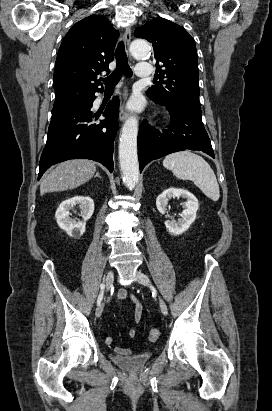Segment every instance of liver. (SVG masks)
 Returning a JSON list of instances; mask_svg holds the SVG:
<instances>
[{"label": "liver", "instance_id": "liver-1", "mask_svg": "<svg viewBox=\"0 0 272 411\" xmlns=\"http://www.w3.org/2000/svg\"><path fill=\"white\" fill-rule=\"evenodd\" d=\"M95 171V164L90 160L75 159L62 162L43 178L40 194L76 188L89 181Z\"/></svg>", "mask_w": 272, "mask_h": 411}]
</instances>
